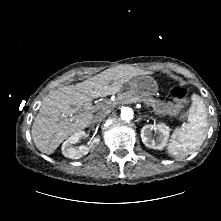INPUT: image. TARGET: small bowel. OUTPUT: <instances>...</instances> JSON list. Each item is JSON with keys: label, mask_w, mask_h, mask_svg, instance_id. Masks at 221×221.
Instances as JSON below:
<instances>
[{"label": "small bowel", "mask_w": 221, "mask_h": 221, "mask_svg": "<svg viewBox=\"0 0 221 221\" xmlns=\"http://www.w3.org/2000/svg\"><path fill=\"white\" fill-rule=\"evenodd\" d=\"M184 106L183 102L165 103L160 106L159 111L162 114L176 115Z\"/></svg>", "instance_id": "small-bowel-1"}]
</instances>
